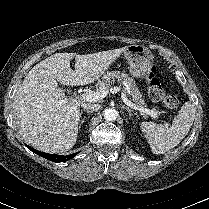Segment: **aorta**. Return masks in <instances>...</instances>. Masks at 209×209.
<instances>
[{
    "mask_svg": "<svg viewBox=\"0 0 209 209\" xmlns=\"http://www.w3.org/2000/svg\"><path fill=\"white\" fill-rule=\"evenodd\" d=\"M118 117V112L115 109L109 108L104 111V118L107 121H114Z\"/></svg>",
    "mask_w": 209,
    "mask_h": 209,
    "instance_id": "aorta-1",
    "label": "aorta"
}]
</instances>
